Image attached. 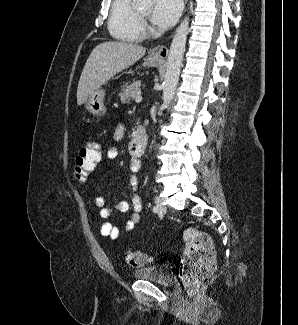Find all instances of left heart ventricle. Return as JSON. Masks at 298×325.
I'll return each instance as SVG.
<instances>
[{
    "mask_svg": "<svg viewBox=\"0 0 298 325\" xmlns=\"http://www.w3.org/2000/svg\"><path fill=\"white\" fill-rule=\"evenodd\" d=\"M140 9L149 19L150 12H151V9H152V3L150 1L141 0Z\"/></svg>",
    "mask_w": 298,
    "mask_h": 325,
    "instance_id": "obj_1",
    "label": "left heart ventricle"
}]
</instances>
